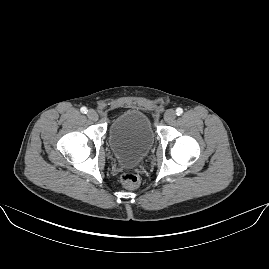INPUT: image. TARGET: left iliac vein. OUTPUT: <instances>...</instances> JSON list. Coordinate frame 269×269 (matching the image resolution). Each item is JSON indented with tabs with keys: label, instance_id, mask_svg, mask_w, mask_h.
<instances>
[{
	"label": "left iliac vein",
	"instance_id": "1",
	"mask_svg": "<svg viewBox=\"0 0 269 269\" xmlns=\"http://www.w3.org/2000/svg\"><path fill=\"white\" fill-rule=\"evenodd\" d=\"M176 117V112L174 110H167L164 114V120L168 123L174 121Z\"/></svg>",
	"mask_w": 269,
	"mask_h": 269
}]
</instances>
